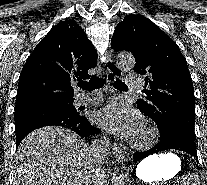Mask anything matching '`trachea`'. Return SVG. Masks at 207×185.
<instances>
[{
  "label": "trachea",
  "instance_id": "obj_1",
  "mask_svg": "<svg viewBox=\"0 0 207 185\" xmlns=\"http://www.w3.org/2000/svg\"><path fill=\"white\" fill-rule=\"evenodd\" d=\"M105 84L104 78H98L96 76H93L89 82L80 83L79 87L84 88L85 90L92 91L95 90V88H101ZM113 86L117 88L118 90H128L127 85H125L124 82L121 80H116L115 83H113Z\"/></svg>",
  "mask_w": 207,
  "mask_h": 185
}]
</instances>
